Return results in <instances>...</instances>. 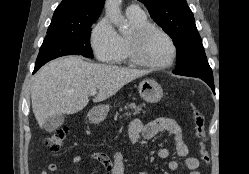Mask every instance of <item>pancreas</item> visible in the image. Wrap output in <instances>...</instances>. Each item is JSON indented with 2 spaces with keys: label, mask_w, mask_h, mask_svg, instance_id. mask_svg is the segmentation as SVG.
I'll list each match as a JSON object with an SVG mask.
<instances>
[{
  "label": "pancreas",
  "mask_w": 249,
  "mask_h": 174,
  "mask_svg": "<svg viewBox=\"0 0 249 174\" xmlns=\"http://www.w3.org/2000/svg\"><path fill=\"white\" fill-rule=\"evenodd\" d=\"M125 110L129 111L130 109H133L135 110L136 113L140 112L142 110V105H139V106H136L135 103H131V104H127L125 107H124ZM120 111H123V108H120ZM127 116L130 115L129 112L126 113ZM116 117L118 116V113H116L115 115Z\"/></svg>",
  "instance_id": "obj_1"
}]
</instances>
